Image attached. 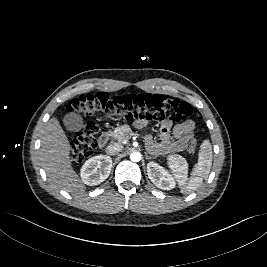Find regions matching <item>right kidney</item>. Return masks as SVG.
Returning <instances> with one entry per match:
<instances>
[{
  "instance_id": "right-kidney-1",
  "label": "right kidney",
  "mask_w": 267,
  "mask_h": 267,
  "mask_svg": "<svg viewBox=\"0 0 267 267\" xmlns=\"http://www.w3.org/2000/svg\"><path fill=\"white\" fill-rule=\"evenodd\" d=\"M111 169L112 159L110 156H94L83 164L80 171L81 179L86 185H98L109 177Z\"/></svg>"
}]
</instances>
